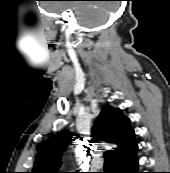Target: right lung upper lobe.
I'll list each match as a JSON object with an SVG mask.
<instances>
[{"mask_svg": "<svg viewBox=\"0 0 170 173\" xmlns=\"http://www.w3.org/2000/svg\"><path fill=\"white\" fill-rule=\"evenodd\" d=\"M74 133L60 132L46 140L40 147L31 173H59L63 151L74 140ZM92 135L96 139L116 145L113 157L136 144L130 120L121 109L106 105L100 112ZM76 139V138H75Z\"/></svg>", "mask_w": 170, "mask_h": 173, "instance_id": "obj_1", "label": "right lung upper lobe"}]
</instances>
